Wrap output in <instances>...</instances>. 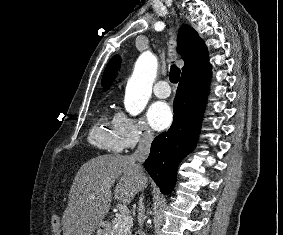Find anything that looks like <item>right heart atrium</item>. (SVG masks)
<instances>
[{"label":"right heart atrium","instance_id":"right-heart-atrium-1","mask_svg":"<svg viewBox=\"0 0 283 235\" xmlns=\"http://www.w3.org/2000/svg\"><path fill=\"white\" fill-rule=\"evenodd\" d=\"M116 122L123 137L124 148H132L138 144L150 143L154 135L149 126L143 120L134 119L119 112Z\"/></svg>","mask_w":283,"mask_h":235}]
</instances>
